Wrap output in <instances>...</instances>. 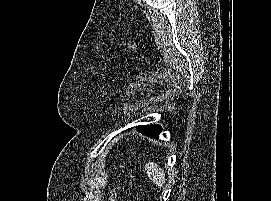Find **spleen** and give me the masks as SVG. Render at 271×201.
Returning a JSON list of instances; mask_svg holds the SVG:
<instances>
[{"mask_svg": "<svg viewBox=\"0 0 271 201\" xmlns=\"http://www.w3.org/2000/svg\"><path fill=\"white\" fill-rule=\"evenodd\" d=\"M146 172L150 180L159 188L163 187L165 184V174L162 168H160L156 163L149 162L145 166Z\"/></svg>", "mask_w": 271, "mask_h": 201, "instance_id": "1", "label": "spleen"}]
</instances>
